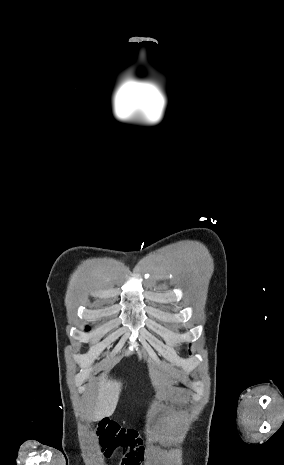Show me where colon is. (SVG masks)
<instances>
[{
  "label": "colon",
  "mask_w": 284,
  "mask_h": 465,
  "mask_svg": "<svg viewBox=\"0 0 284 465\" xmlns=\"http://www.w3.org/2000/svg\"><path fill=\"white\" fill-rule=\"evenodd\" d=\"M98 452L110 459L125 455L123 465H139L144 458V440L136 430L120 427L115 422L103 425L98 434Z\"/></svg>",
  "instance_id": "obj_1"
}]
</instances>
